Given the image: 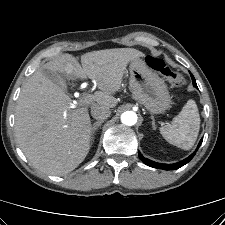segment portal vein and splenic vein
<instances>
[{
    "label": "portal vein and splenic vein",
    "instance_id": "portal-vein-and-splenic-vein-1",
    "mask_svg": "<svg viewBox=\"0 0 225 225\" xmlns=\"http://www.w3.org/2000/svg\"><path fill=\"white\" fill-rule=\"evenodd\" d=\"M84 103H90V102H92L93 101V96L92 95H90V94H87V95H85L84 97H83V100H82ZM75 107V105L73 104L72 105V107L71 108H74Z\"/></svg>",
    "mask_w": 225,
    "mask_h": 225
}]
</instances>
